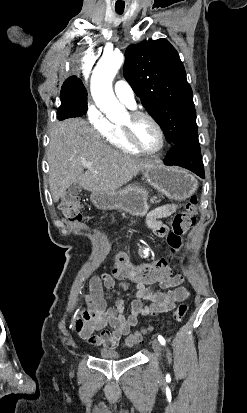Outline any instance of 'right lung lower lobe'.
<instances>
[{
  "label": "right lung lower lobe",
  "instance_id": "98d812e1",
  "mask_svg": "<svg viewBox=\"0 0 247 413\" xmlns=\"http://www.w3.org/2000/svg\"><path fill=\"white\" fill-rule=\"evenodd\" d=\"M70 117H79V114L76 109H73L69 105L62 104L57 111V118L59 120H64Z\"/></svg>",
  "mask_w": 247,
  "mask_h": 413
}]
</instances>
